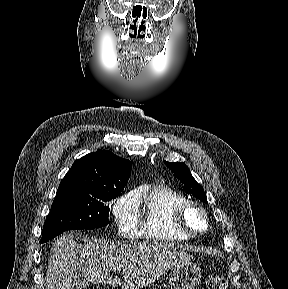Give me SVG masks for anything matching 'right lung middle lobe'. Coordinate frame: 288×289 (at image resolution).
<instances>
[{
  "mask_svg": "<svg viewBox=\"0 0 288 289\" xmlns=\"http://www.w3.org/2000/svg\"><path fill=\"white\" fill-rule=\"evenodd\" d=\"M121 194L116 190L95 193L57 192L44 224L41 243L71 229H94L109 223L106 202Z\"/></svg>",
  "mask_w": 288,
  "mask_h": 289,
  "instance_id": "1",
  "label": "right lung middle lobe"
}]
</instances>
